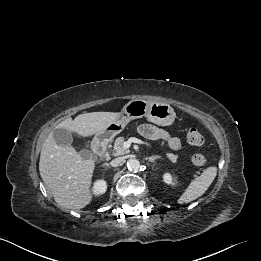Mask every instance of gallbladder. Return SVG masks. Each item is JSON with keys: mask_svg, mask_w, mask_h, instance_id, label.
Returning <instances> with one entry per match:
<instances>
[{"mask_svg": "<svg viewBox=\"0 0 261 261\" xmlns=\"http://www.w3.org/2000/svg\"><path fill=\"white\" fill-rule=\"evenodd\" d=\"M52 133L56 143L60 146H70L73 142L72 134L65 128H55ZM79 153L83 159L92 156L91 151L86 148L81 149Z\"/></svg>", "mask_w": 261, "mask_h": 261, "instance_id": "1", "label": "gallbladder"}]
</instances>
